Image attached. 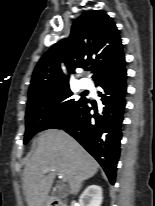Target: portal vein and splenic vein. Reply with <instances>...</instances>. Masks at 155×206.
Wrapping results in <instances>:
<instances>
[{"instance_id": "obj_1", "label": "portal vein and splenic vein", "mask_w": 155, "mask_h": 206, "mask_svg": "<svg viewBox=\"0 0 155 206\" xmlns=\"http://www.w3.org/2000/svg\"><path fill=\"white\" fill-rule=\"evenodd\" d=\"M48 171H50V169H46V172H48ZM59 174H60L59 177L62 178L63 182H66V180H67L66 177L61 172H59Z\"/></svg>"}]
</instances>
